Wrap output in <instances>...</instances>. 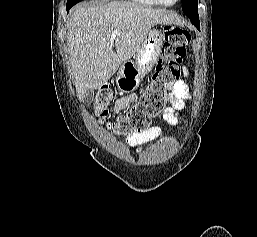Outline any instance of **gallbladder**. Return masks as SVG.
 <instances>
[{
  "label": "gallbladder",
  "mask_w": 257,
  "mask_h": 237,
  "mask_svg": "<svg viewBox=\"0 0 257 237\" xmlns=\"http://www.w3.org/2000/svg\"><path fill=\"white\" fill-rule=\"evenodd\" d=\"M86 101H89L91 100L92 98V91L91 90H87L86 93H85V97Z\"/></svg>",
  "instance_id": "obj_1"
}]
</instances>
